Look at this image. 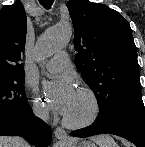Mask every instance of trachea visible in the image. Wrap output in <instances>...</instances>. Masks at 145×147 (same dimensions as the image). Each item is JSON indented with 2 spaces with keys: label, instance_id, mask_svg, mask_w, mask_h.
Wrapping results in <instances>:
<instances>
[{
  "label": "trachea",
  "instance_id": "3493384b",
  "mask_svg": "<svg viewBox=\"0 0 145 147\" xmlns=\"http://www.w3.org/2000/svg\"><path fill=\"white\" fill-rule=\"evenodd\" d=\"M39 2L46 9H50L54 1L53 0H40Z\"/></svg>",
  "mask_w": 145,
  "mask_h": 147
}]
</instances>
